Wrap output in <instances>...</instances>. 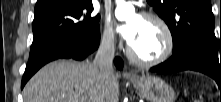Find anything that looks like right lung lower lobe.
I'll return each mask as SVG.
<instances>
[{
	"instance_id": "obj_1",
	"label": "right lung lower lobe",
	"mask_w": 221,
	"mask_h": 102,
	"mask_svg": "<svg viewBox=\"0 0 221 102\" xmlns=\"http://www.w3.org/2000/svg\"><path fill=\"white\" fill-rule=\"evenodd\" d=\"M99 39L100 32L91 39L67 37L55 40L44 46L29 57V61L22 78L21 88L24 87L26 82L37 70L50 61L60 58L76 60L85 59L98 48ZM115 65L121 69L123 67L122 60L116 58Z\"/></svg>"
}]
</instances>
